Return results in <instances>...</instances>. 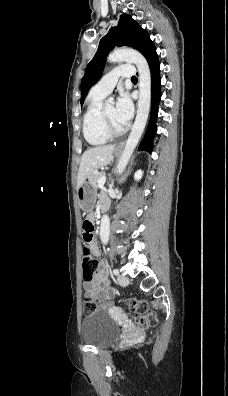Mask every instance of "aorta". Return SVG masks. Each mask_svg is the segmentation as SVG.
<instances>
[{
	"mask_svg": "<svg viewBox=\"0 0 228 396\" xmlns=\"http://www.w3.org/2000/svg\"><path fill=\"white\" fill-rule=\"evenodd\" d=\"M110 63L128 62L136 65L139 74V100L137 115L132 127L131 133L125 144L123 153L117 165V172L123 173L128 161L138 144L144 128L147 123L150 104H151V74L149 65L145 57L134 49H118L109 54L107 58ZM113 98L110 97L107 103H113ZM110 234V220L108 215L104 214L100 225V239L103 244H107Z\"/></svg>",
	"mask_w": 228,
	"mask_h": 396,
	"instance_id": "1",
	"label": "aorta"
}]
</instances>
